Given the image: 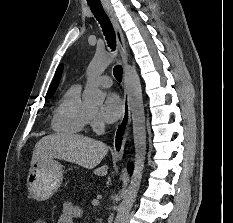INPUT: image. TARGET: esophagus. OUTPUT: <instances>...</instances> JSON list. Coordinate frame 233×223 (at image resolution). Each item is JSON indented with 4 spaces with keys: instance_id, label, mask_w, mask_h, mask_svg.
<instances>
[{
    "instance_id": "34e87169",
    "label": "esophagus",
    "mask_w": 233,
    "mask_h": 223,
    "mask_svg": "<svg viewBox=\"0 0 233 223\" xmlns=\"http://www.w3.org/2000/svg\"><path fill=\"white\" fill-rule=\"evenodd\" d=\"M102 6L109 17V20L112 23V26L115 31L117 45L126 66L128 63V51L126 48V42L119 23L114 15V12L108 1L101 0ZM123 82H124V103H123V114L120 120V123L115 130L114 141H113V157L116 159H121L124 153V147L128 136L129 126L131 123V110H130V90L128 86L127 76L125 72L123 73Z\"/></svg>"
}]
</instances>
